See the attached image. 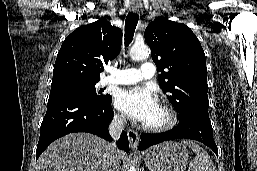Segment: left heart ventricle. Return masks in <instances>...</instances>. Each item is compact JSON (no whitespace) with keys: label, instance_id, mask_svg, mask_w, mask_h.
Segmentation results:
<instances>
[{"label":"left heart ventricle","instance_id":"1","mask_svg":"<svg viewBox=\"0 0 257 171\" xmlns=\"http://www.w3.org/2000/svg\"><path fill=\"white\" fill-rule=\"evenodd\" d=\"M166 119L167 116L165 112L160 108V106H158L155 112L150 116V118L145 123L150 125H157L165 122Z\"/></svg>","mask_w":257,"mask_h":171}]
</instances>
